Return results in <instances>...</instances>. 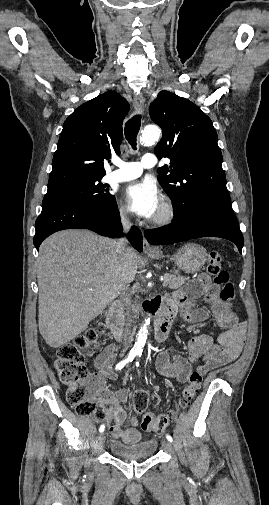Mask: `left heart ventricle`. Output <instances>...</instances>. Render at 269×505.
<instances>
[{"label":"left heart ventricle","mask_w":269,"mask_h":505,"mask_svg":"<svg viewBox=\"0 0 269 505\" xmlns=\"http://www.w3.org/2000/svg\"><path fill=\"white\" fill-rule=\"evenodd\" d=\"M159 211H160V209L158 210V212H157L156 214H158V213H159Z\"/></svg>","instance_id":"left-heart-ventricle-1"}]
</instances>
